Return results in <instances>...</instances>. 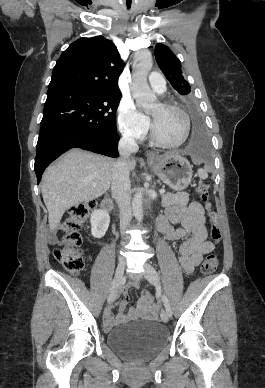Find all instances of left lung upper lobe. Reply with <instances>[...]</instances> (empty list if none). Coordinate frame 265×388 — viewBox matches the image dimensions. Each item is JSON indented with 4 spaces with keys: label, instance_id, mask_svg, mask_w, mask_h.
<instances>
[{
    "label": "left lung upper lobe",
    "instance_id": "5c2ea615",
    "mask_svg": "<svg viewBox=\"0 0 265 388\" xmlns=\"http://www.w3.org/2000/svg\"><path fill=\"white\" fill-rule=\"evenodd\" d=\"M154 53L159 68L169 80L173 88L181 95L190 93V85L186 80H184L181 70V62L175 54L163 44H157ZM191 108L193 109V107Z\"/></svg>",
    "mask_w": 265,
    "mask_h": 388
}]
</instances>
